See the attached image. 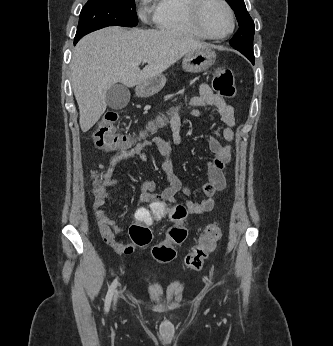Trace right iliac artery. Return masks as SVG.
Here are the masks:
<instances>
[{"label":"right iliac artery","mask_w":333,"mask_h":346,"mask_svg":"<svg viewBox=\"0 0 333 346\" xmlns=\"http://www.w3.org/2000/svg\"><path fill=\"white\" fill-rule=\"evenodd\" d=\"M117 284H118V281H117V279H115L112 282L111 286L109 287V290H108L106 298H105V312L109 311L111 300H112L114 291H115V289L117 287Z\"/></svg>","instance_id":"82829eb1"}]
</instances>
